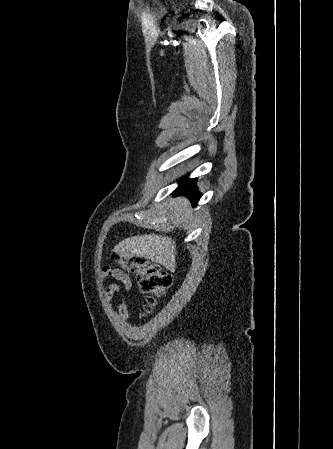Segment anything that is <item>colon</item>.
I'll return each mask as SVG.
<instances>
[{"label": "colon", "mask_w": 333, "mask_h": 449, "mask_svg": "<svg viewBox=\"0 0 333 449\" xmlns=\"http://www.w3.org/2000/svg\"><path fill=\"white\" fill-rule=\"evenodd\" d=\"M111 259L124 270L139 276V289L146 294V311L155 306L173 283V275L160 265L136 254L115 251Z\"/></svg>", "instance_id": "1"}]
</instances>
